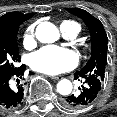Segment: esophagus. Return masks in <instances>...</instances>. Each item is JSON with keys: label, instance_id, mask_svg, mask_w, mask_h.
Returning <instances> with one entry per match:
<instances>
[{"label": "esophagus", "instance_id": "34e87169", "mask_svg": "<svg viewBox=\"0 0 117 117\" xmlns=\"http://www.w3.org/2000/svg\"><path fill=\"white\" fill-rule=\"evenodd\" d=\"M50 78H51L52 80H60V79H61L60 76H51Z\"/></svg>", "mask_w": 117, "mask_h": 117}]
</instances>
